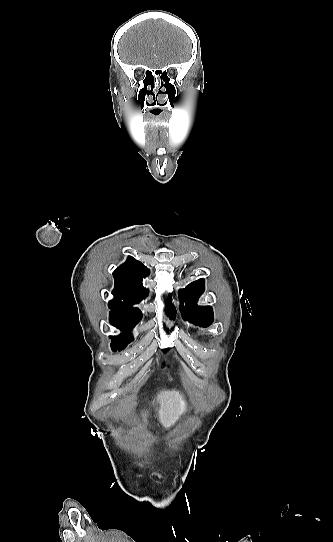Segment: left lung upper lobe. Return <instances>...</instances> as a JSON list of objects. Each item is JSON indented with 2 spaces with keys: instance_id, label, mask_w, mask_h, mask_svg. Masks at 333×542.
Masks as SVG:
<instances>
[{
  "instance_id": "1",
  "label": "left lung upper lobe",
  "mask_w": 333,
  "mask_h": 542,
  "mask_svg": "<svg viewBox=\"0 0 333 542\" xmlns=\"http://www.w3.org/2000/svg\"><path fill=\"white\" fill-rule=\"evenodd\" d=\"M204 292V280L199 279L180 290V298L187 302L186 307H180L182 317L196 325L207 327L212 324L213 310L210 306H197L199 296Z\"/></svg>"
}]
</instances>
